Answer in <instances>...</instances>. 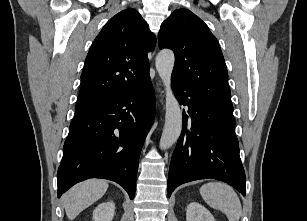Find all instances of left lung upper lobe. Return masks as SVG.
I'll use <instances>...</instances> for the list:
<instances>
[{
  "mask_svg": "<svg viewBox=\"0 0 307 221\" xmlns=\"http://www.w3.org/2000/svg\"><path fill=\"white\" fill-rule=\"evenodd\" d=\"M159 48L175 54L172 77L195 96L233 115L228 72L208 26L188 9L175 10L160 28Z\"/></svg>",
  "mask_w": 307,
  "mask_h": 221,
  "instance_id": "obj_1",
  "label": "left lung upper lobe"
}]
</instances>
